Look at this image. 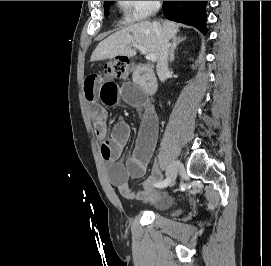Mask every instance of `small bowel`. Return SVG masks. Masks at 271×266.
I'll use <instances>...</instances> for the list:
<instances>
[{
  "instance_id": "small-bowel-1",
  "label": "small bowel",
  "mask_w": 271,
  "mask_h": 266,
  "mask_svg": "<svg viewBox=\"0 0 271 266\" xmlns=\"http://www.w3.org/2000/svg\"><path fill=\"white\" fill-rule=\"evenodd\" d=\"M84 94L90 103L89 113L96 137L102 141V156L110 163L111 184L128 200H139L150 204L170 203L171 199L167 194H159L153 187L161 178L158 168H155L150 177L144 181L143 190L133 191L129 186V179L140 178L146 173L158 134L156 114L139 89L130 82L118 84L103 74H90L84 82ZM121 100L144 111L134 150L125 162L120 161L119 158L130 138L131 128L125 120L119 119L109 133L105 110L106 106H116Z\"/></svg>"
}]
</instances>
